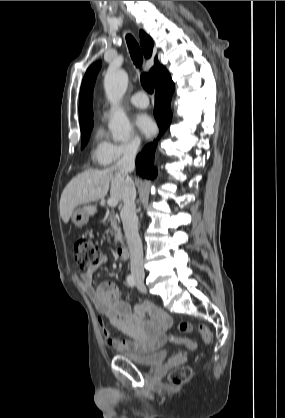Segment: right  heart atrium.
I'll use <instances>...</instances> for the list:
<instances>
[{
    "instance_id": "d8ad5b80",
    "label": "right heart atrium",
    "mask_w": 285,
    "mask_h": 418,
    "mask_svg": "<svg viewBox=\"0 0 285 418\" xmlns=\"http://www.w3.org/2000/svg\"><path fill=\"white\" fill-rule=\"evenodd\" d=\"M140 141L133 136L120 143H112L107 151L106 164L116 165L121 161L135 157L140 151Z\"/></svg>"
}]
</instances>
